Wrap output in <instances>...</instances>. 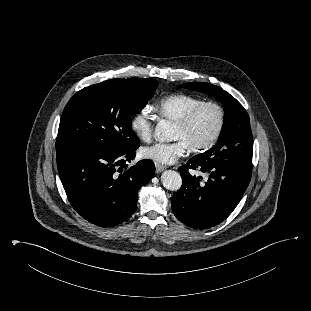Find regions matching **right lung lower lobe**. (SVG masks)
I'll use <instances>...</instances> for the list:
<instances>
[{"label":"right lung lower lobe","instance_id":"obj_1","mask_svg":"<svg viewBox=\"0 0 311 311\" xmlns=\"http://www.w3.org/2000/svg\"><path fill=\"white\" fill-rule=\"evenodd\" d=\"M134 158L135 150L124 154L86 150L57 153L60 179L74 210L100 227L128 220L137 206L138 190L155 173L151 160H141L128 168L126 161Z\"/></svg>","mask_w":311,"mask_h":311}]
</instances>
